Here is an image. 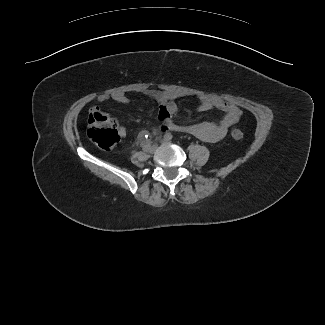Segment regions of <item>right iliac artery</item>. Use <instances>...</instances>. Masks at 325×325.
<instances>
[{
    "label": "right iliac artery",
    "instance_id": "obj_1",
    "mask_svg": "<svg viewBox=\"0 0 325 325\" xmlns=\"http://www.w3.org/2000/svg\"><path fill=\"white\" fill-rule=\"evenodd\" d=\"M149 147H150V142H146V143L143 145V149H144L145 151H147Z\"/></svg>",
    "mask_w": 325,
    "mask_h": 325
}]
</instances>
